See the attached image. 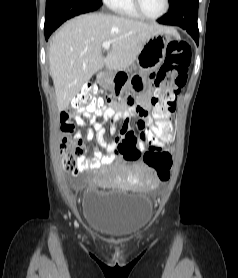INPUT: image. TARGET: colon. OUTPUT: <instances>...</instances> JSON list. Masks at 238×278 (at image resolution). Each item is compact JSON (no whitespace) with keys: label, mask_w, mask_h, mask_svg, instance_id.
I'll use <instances>...</instances> for the list:
<instances>
[{"label":"colon","mask_w":238,"mask_h":278,"mask_svg":"<svg viewBox=\"0 0 238 278\" xmlns=\"http://www.w3.org/2000/svg\"><path fill=\"white\" fill-rule=\"evenodd\" d=\"M190 61V48L185 41L170 42L166 49V58L154 77V93L151 98L152 117L154 123L149 127L150 137L138 144H122L116 149L117 155L125 160H137L143 154L144 162L152 168L161 182H166L170 176L171 156L168 154L162 136L171 135L173 125L171 116L176 108V99L186 82L187 66ZM127 100H133L128 97ZM103 98L97 95L93 84L83 87L72 101L74 111L94 112L103 107ZM67 133L72 134L74 126L68 122L62 126ZM144 149V150H143ZM63 167L77 174L80 170L79 159L83 156L80 142L65 138L61 145Z\"/></svg>","instance_id":"5ec220e1"}]
</instances>
